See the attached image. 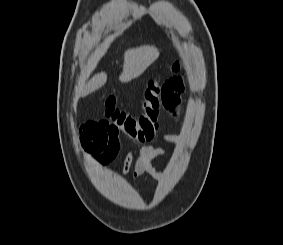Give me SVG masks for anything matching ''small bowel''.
Here are the masks:
<instances>
[{
  "label": "small bowel",
  "instance_id": "c3829d8e",
  "mask_svg": "<svg viewBox=\"0 0 283 245\" xmlns=\"http://www.w3.org/2000/svg\"><path fill=\"white\" fill-rule=\"evenodd\" d=\"M184 91V81L181 76H173L162 83V107L176 116L181 94ZM166 142H177L179 136L166 134ZM81 146L91 159L99 164H108L118 155L121 148L120 133L106 120L89 121L82 126ZM166 150L154 144L143 146L134 160V153L129 149L124 156L122 173L129 175L132 180L142 176L145 179L162 180L164 173L157 170L152 161L154 158L165 155Z\"/></svg>",
  "mask_w": 283,
  "mask_h": 245
}]
</instances>
